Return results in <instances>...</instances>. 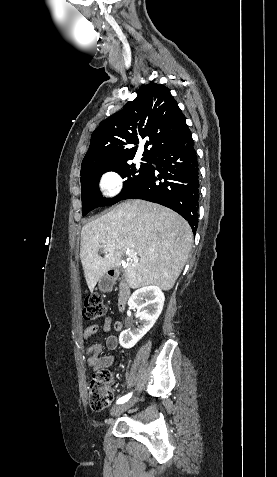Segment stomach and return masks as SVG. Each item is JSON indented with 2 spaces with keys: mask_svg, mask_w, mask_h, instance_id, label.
<instances>
[{
  "mask_svg": "<svg viewBox=\"0 0 277 477\" xmlns=\"http://www.w3.org/2000/svg\"><path fill=\"white\" fill-rule=\"evenodd\" d=\"M111 287H112V281L108 279V277L105 276L99 280V288L102 291H109Z\"/></svg>",
  "mask_w": 277,
  "mask_h": 477,
  "instance_id": "obj_1",
  "label": "stomach"
}]
</instances>
